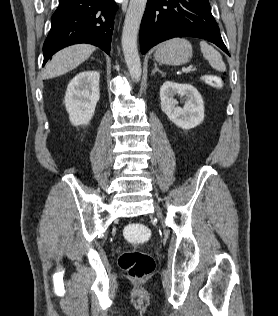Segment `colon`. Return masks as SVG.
<instances>
[{"label":"colon","instance_id":"5ec220e1","mask_svg":"<svg viewBox=\"0 0 278 316\" xmlns=\"http://www.w3.org/2000/svg\"><path fill=\"white\" fill-rule=\"evenodd\" d=\"M205 82L216 89L223 85V79L214 74L205 76ZM151 236L150 229L142 223H130L124 229V237L132 243H142ZM119 267L132 278L141 280L148 277L155 269V261L151 255L141 251H125L118 258Z\"/></svg>","mask_w":278,"mask_h":316}]
</instances>
